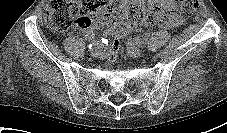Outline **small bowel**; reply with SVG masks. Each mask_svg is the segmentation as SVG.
Wrapping results in <instances>:
<instances>
[{
	"instance_id": "small-bowel-1",
	"label": "small bowel",
	"mask_w": 227,
	"mask_h": 133,
	"mask_svg": "<svg viewBox=\"0 0 227 133\" xmlns=\"http://www.w3.org/2000/svg\"><path fill=\"white\" fill-rule=\"evenodd\" d=\"M150 9L159 8L167 11L165 21L159 23L165 28L177 27L182 23V18L174 12L173 0H148ZM132 6L144 8L143 0H122L121 6L116 10L115 14L108 19H100L95 24L84 31V37L91 40L94 37V31L106 26L105 33L107 35L116 36L119 38L125 37L132 29L134 23L129 16V9ZM152 25L154 23H147Z\"/></svg>"
}]
</instances>
